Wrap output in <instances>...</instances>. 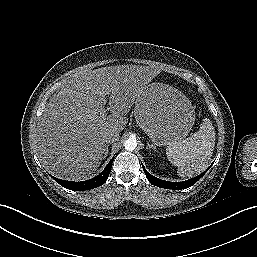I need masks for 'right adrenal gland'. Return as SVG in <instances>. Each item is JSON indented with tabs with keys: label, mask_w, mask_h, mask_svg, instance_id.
<instances>
[{
	"label": "right adrenal gland",
	"mask_w": 257,
	"mask_h": 257,
	"mask_svg": "<svg viewBox=\"0 0 257 257\" xmlns=\"http://www.w3.org/2000/svg\"><path fill=\"white\" fill-rule=\"evenodd\" d=\"M108 147H109V144L107 145V149H106V153H105V155H104V158L107 156V154H108Z\"/></svg>",
	"instance_id": "1"
}]
</instances>
